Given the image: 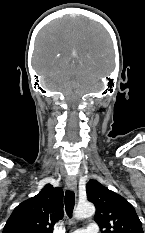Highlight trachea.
Listing matches in <instances>:
<instances>
[{"mask_svg": "<svg viewBox=\"0 0 145 233\" xmlns=\"http://www.w3.org/2000/svg\"><path fill=\"white\" fill-rule=\"evenodd\" d=\"M74 206H75V194L73 191L68 190L65 193V209L69 218L72 217Z\"/></svg>", "mask_w": 145, "mask_h": 233, "instance_id": "3493384b", "label": "trachea"}]
</instances>
